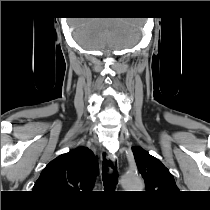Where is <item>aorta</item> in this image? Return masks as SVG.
Wrapping results in <instances>:
<instances>
[{
    "mask_svg": "<svg viewBox=\"0 0 210 210\" xmlns=\"http://www.w3.org/2000/svg\"><path fill=\"white\" fill-rule=\"evenodd\" d=\"M122 185L127 191H141L143 182L141 178L134 174H126L122 178Z\"/></svg>",
    "mask_w": 210,
    "mask_h": 210,
    "instance_id": "762f6f07",
    "label": "aorta"
}]
</instances>
